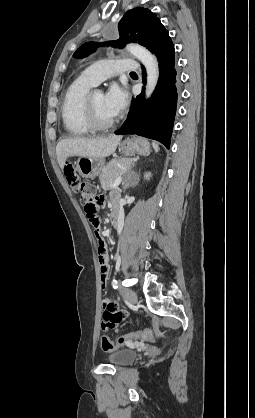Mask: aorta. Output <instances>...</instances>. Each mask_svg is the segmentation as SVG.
<instances>
[{"label":"aorta","mask_w":255,"mask_h":418,"mask_svg":"<svg viewBox=\"0 0 255 418\" xmlns=\"http://www.w3.org/2000/svg\"><path fill=\"white\" fill-rule=\"evenodd\" d=\"M127 50L136 57L145 66L147 71V84H146V98L150 97L153 93L159 77V68L156 57L147 49L140 45L130 44L127 46Z\"/></svg>","instance_id":"762f6f07"}]
</instances>
